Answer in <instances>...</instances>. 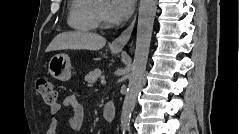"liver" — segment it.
Segmentation results:
<instances>
[{"label": "liver", "mask_w": 239, "mask_h": 134, "mask_svg": "<svg viewBox=\"0 0 239 134\" xmlns=\"http://www.w3.org/2000/svg\"><path fill=\"white\" fill-rule=\"evenodd\" d=\"M106 44V39L98 34L90 32H63L58 34L46 49V52L54 50H99Z\"/></svg>", "instance_id": "1"}]
</instances>
